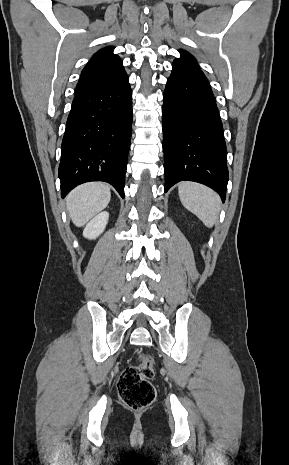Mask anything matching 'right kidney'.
<instances>
[{
    "label": "right kidney",
    "instance_id": "right-kidney-1",
    "mask_svg": "<svg viewBox=\"0 0 289 465\" xmlns=\"http://www.w3.org/2000/svg\"><path fill=\"white\" fill-rule=\"evenodd\" d=\"M109 219V213L104 211L96 215L90 222L86 225L83 236L88 239L97 238L105 230L106 224Z\"/></svg>",
    "mask_w": 289,
    "mask_h": 465
}]
</instances>
